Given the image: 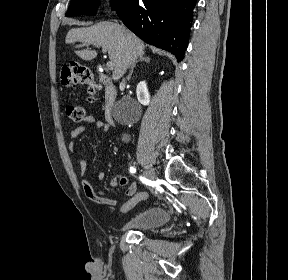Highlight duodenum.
Returning <instances> with one entry per match:
<instances>
[{"instance_id": "obj_1", "label": "duodenum", "mask_w": 288, "mask_h": 280, "mask_svg": "<svg viewBox=\"0 0 288 280\" xmlns=\"http://www.w3.org/2000/svg\"><path fill=\"white\" fill-rule=\"evenodd\" d=\"M101 82L105 85V116L107 121L110 124L114 123L113 116H112V109L116 100L117 90L115 85L111 82V80L101 74L100 75Z\"/></svg>"}]
</instances>
